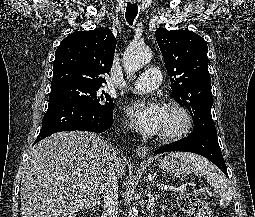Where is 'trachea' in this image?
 Returning <instances> with one entry per match:
<instances>
[{"label": "trachea", "instance_id": "obj_1", "mask_svg": "<svg viewBox=\"0 0 255 217\" xmlns=\"http://www.w3.org/2000/svg\"><path fill=\"white\" fill-rule=\"evenodd\" d=\"M137 13H138L137 4L127 3L125 17H126V21L128 22V24H130V25L133 24V22L137 16Z\"/></svg>", "mask_w": 255, "mask_h": 217}]
</instances>
